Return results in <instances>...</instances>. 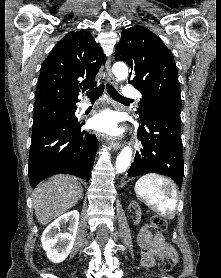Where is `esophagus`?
<instances>
[{"mask_svg":"<svg viewBox=\"0 0 221 278\" xmlns=\"http://www.w3.org/2000/svg\"><path fill=\"white\" fill-rule=\"evenodd\" d=\"M105 71H106V80L116 86L117 85V82L112 74V71H111V58L109 57L106 61V64H105ZM109 147L112 148L113 150H118L120 149L121 147V141L119 139H116V138H111L109 139Z\"/></svg>","mask_w":221,"mask_h":278,"instance_id":"34e87169","label":"esophagus"}]
</instances>
